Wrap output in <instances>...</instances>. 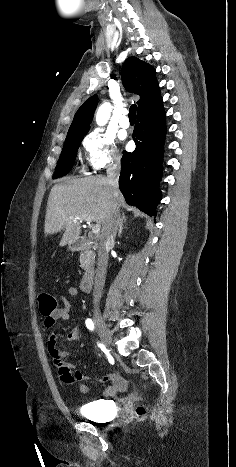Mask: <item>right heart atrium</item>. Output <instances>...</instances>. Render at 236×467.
Returning a JSON list of instances; mask_svg holds the SVG:
<instances>
[{"label": "right heart atrium", "mask_w": 236, "mask_h": 467, "mask_svg": "<svg viewBox=\"0 0 236 467\" xmlns=\"http://www.w3.org/2000/svg\"><path fill=\"white\" fill-rule=\"evenodd\" d=\"M87 165L93 170H101L115 164L118 160L114 138L101 131L94 130L82 141Z\"/></svg>", "instance_id": "obj_1"}]
</instances>
